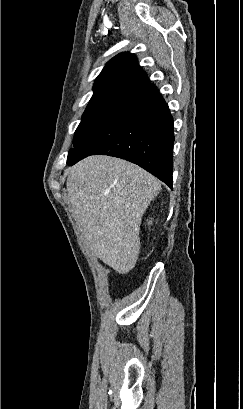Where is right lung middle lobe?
I'll use <instances>...</instances> for the list:
<instances>
[{
    "instance_id": "right-lung-middle-lobe-1",
    "label": "right lung middle lobe",
    "mask_w": 243,
    "mask_h": 409,
    "mask_svg": "<svg viewBox=\"0 0 243 409\" xmlns=\"http://www.w3.org/2000/svg\"><path fill=\"white\" fill-rule=\"evenodd\" d=\"M123 101L121 100H101L91 101L83 114L81 123L75 131L73 139L74 148L82 143L88 136L96 131L108 118L117 110ZM68 155V156H69Z\"/></svg>"
}]
</instances>
